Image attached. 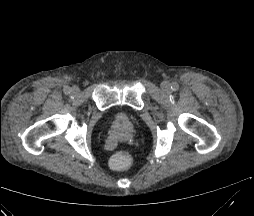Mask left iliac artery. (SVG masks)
Segmentation results:
<instances>
[{"label":"left iliac artery","mask_w":254,"mask_h":216,"mask_svg":"<svg viewBox=\"0 0 254 216\" xmlns=\"http://www.w3.org/2000/svg\"><path fill=\"white\" fill-rule=\"evenodd\" d=\"M171 89H172L173 91H177V90L179 89V85H178L176 82H174V83L171 85Z\"/></svg>","instance_id":"1"}]
</instances>
